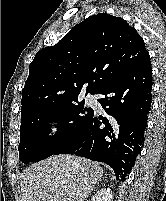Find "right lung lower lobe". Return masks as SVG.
Wrapping results in <instances>:
<instances>
[{"mask_svg": "<svg viewBox=\"0 0 166 201\" xmlns=\"http://www.w3.org/2000/svg\"><path fill=\"white\" fill-rule=\"evenodd\" d=\"M149 54L106 83L96 94L107 117L93 116L56 154H74L108 164L125 181L144 143L152 102Z\"/></svg>", "mask_w": 166, "mask_h": 201, "instance_id": "right-lung-lower-lobe-1", "label": "right lung lower lobe"}]
</instances>
